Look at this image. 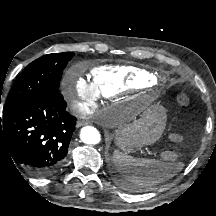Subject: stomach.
Listing matches in <instances>:
<instances>
[{
  "label": "stomach",
  "mask_w": 216,
  "mask_h": 216,
  "mask_svg": "<svg viewBox=\"0 0 216 216\" xmlns=\"http://www.w3.org/2000/svg\"><path fill=\"white\" fill-rule=\"evenodd\" d=\"M166 110L159 103L147 106L134 120L116 131L115 142L125 151L155 143L166 126Z\"/></svg>",
  "instance_id": "stomach-1"
}]
</instances>
